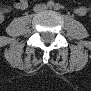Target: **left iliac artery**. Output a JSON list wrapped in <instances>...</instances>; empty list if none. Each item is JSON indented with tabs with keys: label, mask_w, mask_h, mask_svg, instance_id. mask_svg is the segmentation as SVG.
I'll list each match as a JSON object with an SVG mask.
<instances>
[{
	"label": "left iliac artery",
	"mask_w": 91,
	"mask_h": 91,
	"mask_svg": "<svg viewBox=\"0 0 91 91\" xmlns=\"http://www.w3.org/2000/svg\"><path fill=\"white\" fill-rule=\"evenodd\" d=\"M56 9H58L59 8V6L58 5H56V7H55Z\"/></svg>",
	"instance_id": "obj_1"
}]
</instances>
